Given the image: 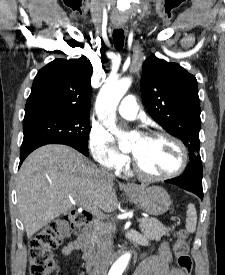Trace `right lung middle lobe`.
<instances>
[{"label": "right lung middle lobe", "instance_id": "right-lung-middle-lobe-1", "mask_svg": "<svg viewBox=\"0 0 225 275\" xmlns=\"http://www.w3.org/2000/svg\"><path fill=\"white\" fill-rule=\"evenodd\" d=\"M89 113H39L25 116L23 142L49 140L88 150Z\"/></svg>", "mask_w": 225, "mask_h": 275}]
</instances>
